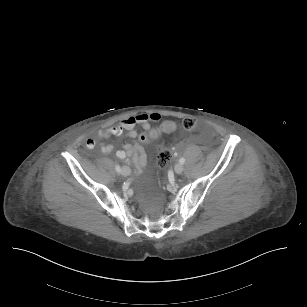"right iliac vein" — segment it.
<instances>
[{"mask_svg":"<svg viewBox=\"0 0 307 307\" xmlns=\"http://www.w3.org/2000/svg\"><path fill=\"white\" fill-rule=\"evenodd\" d=\"M129 173H130V169L128 167H123L122 174L124 176H127V175H129Z\"/></svg>","mask_w":307,"mask_h":307,"instance_id":"63e3f726","label":"right iliac vein"}]
</instances>
